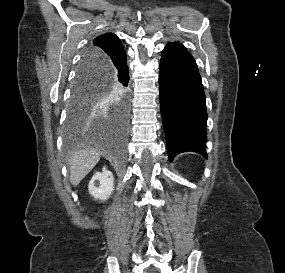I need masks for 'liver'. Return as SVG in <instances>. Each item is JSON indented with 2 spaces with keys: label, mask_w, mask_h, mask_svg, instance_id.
I'll list each match as a JSON object with an SVG mask.
<instances>
[{
  "label": "liver",
  "mask_w": 285,
  "mask_h": 273,
  "mask_svg": "<svg viewBox=\"0 0 285 273\" xmlns=\"http://www.w3.org/2000/svg\"><path fill=\"white\" fill-rule=\"evenodd\" d=\"M101 153L94 148H86L70 154L68 164L70 169V182L77 186L81 180L99 162Z\"/></svg>",
  "instance_id": "liver-1"
}]
</instances>
